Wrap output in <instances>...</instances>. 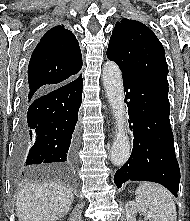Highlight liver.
<instances>
[{
    "instance_id": "6515ba94",
    "label": "liver",
    "mask_w": 190,
    "mask_h": 221,
    "mask_svg": "<svg viewBox=\"0 0 190 221\" xmlns=\"http://www.w3.org/2000/svg\"><path fill=\"white\" fill-rule=\"evenodd\" d=\"M73 200L63 184L31 183L16 195V214L19 221H55L69 212Z\"/></svg>"
}]
</instances>
